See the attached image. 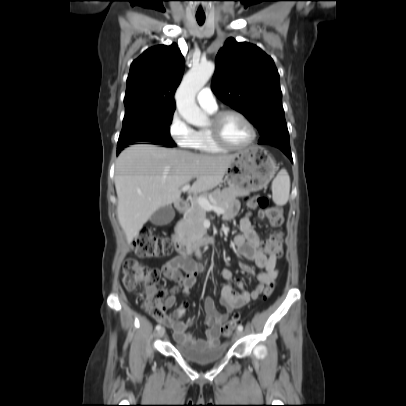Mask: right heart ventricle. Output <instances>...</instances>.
Wrapping results in <instances>:
<instances>
[{
  "mask_svg": "<svg viewBox=\"0 0 406 406\" xmlns=\"http://www.w3.org/2000/svg\"><path fill=\"white\" fill-rule=\"evenodd\" d=\"M208 113L213 114L216 110H206ZM194 150L206 153H219L224 151L212 139L207 128H202L196 131L195 138L190 145Z\"/></svg>",
  "mask_w": 406,
  "mask_h": 406,
  "instance_id": "obj_1",
  "label": "right heart ventricle"
}]
</instances>
